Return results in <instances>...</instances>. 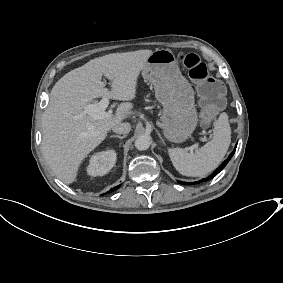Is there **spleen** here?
Listing matches in <instances>:
<instances>
[{
  "label": "spleen",
  "instance_id": "obj_1",
  "mask_svg": "<svg viewBox=\"0 0 283 283\" xmlns=\"http://www.w3.org/2000/svg\"><path fill=\"white\" fill-rule=\"evenodd\" d=\"M230 126L226 113H221L214 124L213 139L192 153L184 149L167 148L174 168L183 175L204 176L215 169L225 156L230 144Z\"/></svg>",
  "mask_w": 283,
  "mask_h": 283
}]
</instances>
